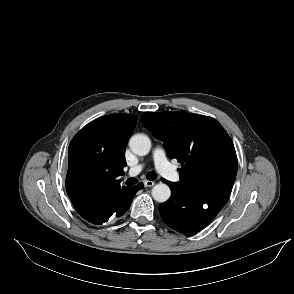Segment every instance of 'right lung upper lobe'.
I'll list each match as a JSON object with an SVG mask.
<instances>
[{
    "mask_svg": "<svg viewBox=\"0 0 294 294\" xmlns=\"http://www.w3.org/2000/svg\"><path fill=\"white\" fill-rule=\"evenodd\" d=\"M136 121L137 116L122 113L103 116L72 139L66 189L77 212L100 207L127 188L117 177L127 165L125 148Z\"/></svg>",
    "mask_w": 294,
    "mask_h": 294,
    "instance_id": "right-lung-upper-lobe-1",
    "label": "right lung upper lobe"
}]
</instances>
